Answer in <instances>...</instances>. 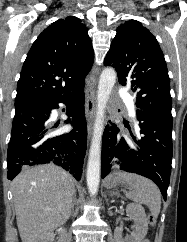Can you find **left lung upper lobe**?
Segmentation results:
<instances>
[{"instance_id":"5c2ea615","label":"left lung upper lobe","mask_w":187,"mask_h":242,"mask_svg":"<svg viewBox=\"0 0 187 242\" xmlns=\"http://www.w3.org/2000/svg\"><path fill=\"white\" fill-rule=\"evenodd\" d=\"M104 64L117 71L122 85L131 83L138 109L172 118L170 79L156 38L136 20L117 28Z\"/></svg>"}]
</instances>
